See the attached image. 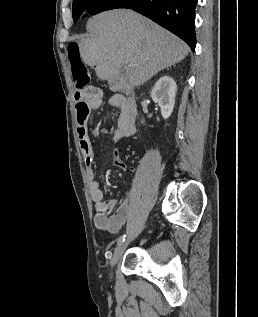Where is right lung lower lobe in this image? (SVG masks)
<instances>
[{
  "label": "right lung lower lobe",
  "mask_w": 258,
  "mask_h": 317,
  "mask_svg": "<svg viewBox=\"0 0 258 317\" xmlns=\"http://www.w3.org/2000/svg\"><path fill=\"white\" fill-rule=\"evenodd\" d=\"M198 0H114L107 7V3L93 6L90 3L82 14H97L115 9H132L171 31L183 39L195 51V7Z\"/></svg>",
  "instance_id": "98d812e1"
}]
</instances>
